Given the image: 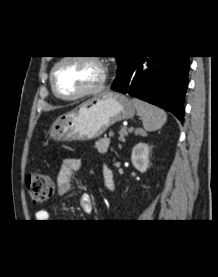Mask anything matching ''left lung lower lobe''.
<instances>
[{
	"label": "left lung lower lobe",
	"instance_id": "1",
	"mask_svg": "<svg viewBox=\"0 0 218 277\" xmlns=\"http://www.w3.org/2000/svg\"><path fill=\"white\" fill-rule=\"evenodd\" d=\"M189 69V56H132L111 89L170 111L183 122Z\"/></svg>",
	"mask_w": 218,
	"mask_h": 277
}]
</instances>
